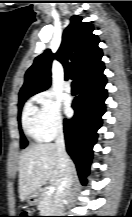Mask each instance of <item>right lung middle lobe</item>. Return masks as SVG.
<instances>
[{
	"label": "right lung middle lobe",
	"instance_id": "obj_1",
	"mask_svg": "<svg viewBox=\"0 0 132 217\" xmlns=\"http://www.w3.org/2000/svg\"><path fill=\"white\" fill-rule=\"evenodd\" d=\"M28 98H29V97L22 98V99L19 100V104H18L19 119H20V114H21L22 106H23L24 102H25ZM20 141H21V148H25V147L27 146L28 142H27V140H26V138H25V136H24V134H23L21 128H20Z\"/></svg>",
	"mask_w": 132,
	"mask_h": 217
}]
</instances>
